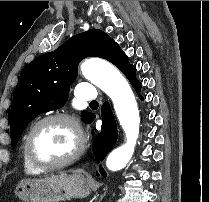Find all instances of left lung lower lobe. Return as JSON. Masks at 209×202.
Listing matches in <instances>:
<instances>
[{"instance_id": "obj_1", "label": "left lung lower lobe", "mask_w": 209, "mask_h": 202, "mask_svg": "<svg viewBox=\"0 0 209 202\" xmlns=\"http://www.w3.org/2000/svg\"><path fill=\"white\" fill-rule=\"evenodd\" d=\"M135 72L136 68L132 67L125 75L139 94L142 84L136 79ZM140 99L143 100V97ZM101 111V116L103 118L101 132L94 137L92 144L93 153L96 157L97 163H99L100 160H103L108 152L114 147L118 136L115 117L108 102H105L102 105ZM94 118L95 116L92 118L90 123ZM92 134H94L93 131ZM100 172L104 177H106L107 174L102 166H100Z\"/></svg>"}]
</instances>
